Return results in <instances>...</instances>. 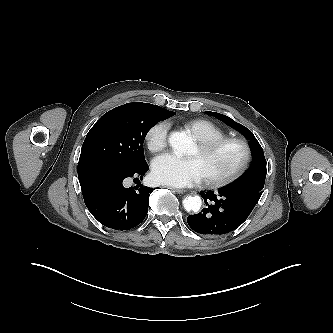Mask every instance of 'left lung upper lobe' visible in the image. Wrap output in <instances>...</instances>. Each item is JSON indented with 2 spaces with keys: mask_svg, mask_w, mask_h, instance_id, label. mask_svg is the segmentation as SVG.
Masks as SVG:
<instances>
[{
  "mask_svg": "<svg viewBox=\"0 0 333 333\" xmlns=\"http://www.w3.org/2000/svg\"><path fill=\"white\" fill-rule=\"evenodd\" d=\"M207 114L224 121L227 125L240 131L247 139L251 140L249 144L252 153L251 168L240 179L225 188L231 191L245 192L260 198L267 173L266 160L261 145L249 129L235 122L230 117L210 111Z\"/></svg>",
  "mask_w": 333,
  "mask_h": 333,
  "instance_id": "5c2ea615",
  "label": "left lung upper lobe"
}]
</instances>
